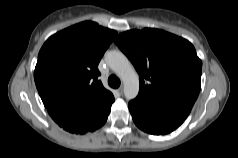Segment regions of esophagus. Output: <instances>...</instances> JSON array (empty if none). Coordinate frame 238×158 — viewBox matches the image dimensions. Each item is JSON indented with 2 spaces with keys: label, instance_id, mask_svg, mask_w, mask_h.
Listing matches in <instances>:
<instances>
[{
  "label": "esophagus",
  "instance_id": "obj_1",
  "mask_svg": "<svg viewBox=\"0 0 238 158\" xmlns=\"http://www.w3.org/2000/svg\"><path fill=\"white\" fill-rule=\"evenodd\" d=\"M118 92L120 95H123V87L122 86L118 88Z\"/></svg>",
  "mask_w": 238,
  "mask_h": 158
}]
</instances>
